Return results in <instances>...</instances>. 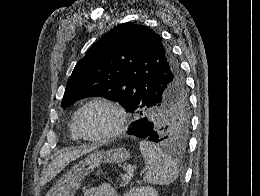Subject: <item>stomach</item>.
Listing matches in <instances>:
<instances>
[{
  "instance_id": "1",
  "label": "stomach",
  "mask_w": 260,
  "mask_h": 196,
  "mask_svg": "<svg viewBox=\"0 0 260 196\" xmlns=\"http://www.w3.org/2000/svg\"><path fill=\"white\" fill-rule=\"evenodd\" d=\"M130 156L131 154L126 148H114L108 152L90 154L70 170L68 180L58 181L59 185H68V187H49L46 196H75L85 176H89L94 168H98L100 164H120V162L129 160Z\"/></svg>"
}]
</instances>
